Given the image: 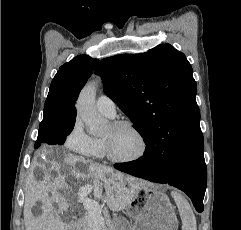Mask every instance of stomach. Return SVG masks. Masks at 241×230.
Masks as SVG:
<instances>
[{
    "instance_id": "1",
    "label": "stomach",
    "mask_w": 241,
    "mask_h": 230,
    "mask_svg": "<svg viewBox=\"0 0 241 230\" xmlns=\"http://www.w3.org/2000/svg\"><path fill=\"white\" fill-rule=\"evenodd\" d=\"M126 213L134 223L123 224L115 219L117 230H178L177 217L168 196L150 183H140Z\"/></svg>"
}]
</instances>
